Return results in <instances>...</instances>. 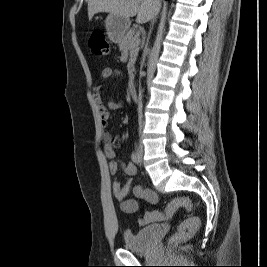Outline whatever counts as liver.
Returning a JSON list of instances; mask_svg holds the SVG:
<instances>
[{
  "mask_svg": "<svg viewBox=\"0 0 267 267\" xmlns=\"http://www.w3.org/2000/svg\"><path fill=\"white\" fill-rule=\"evenodd\" d=\"M89 20L96 13L106 12L123 18L137 15V23L152 20L161 7L160 0H86Z\"/></svg>",
  "mask_w": 267,
  "mask_h": 267,
  "instance_id": "6515ba94",
  "label": "liver"
}]
</instances>
